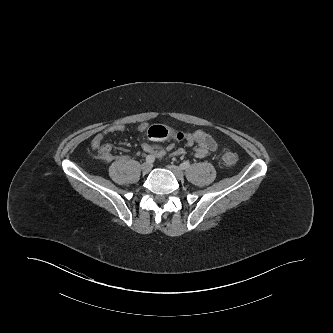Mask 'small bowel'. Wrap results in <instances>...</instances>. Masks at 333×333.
Masks as SVG:
<instances>
[{
    "instance_id": "small-bowel-1",
    "label": "small bowel",
    "mask_w": 333,
    "mask_h": 333,
    "mask_svg": "<svg viewBox=\"0 0 333 333\" xmlns=\"http://www.w3.org/2000/svg\"><path fill=\"white\" fill-rule=\"evenodd\" d=\"M140 130H144V126L139 127ZM125 126L122 124H116L108 127L104 131L95 135L91 141V148L93 151L99 154V157L105 162H111L114 160L113 146L110 143H105V138L113 133L124 132ZM183 136L181 140L185 141L187 147H192L194 155L197 158H205L212 152L218 149L216 140L207 132L203 130H195L193 132H180ZM142 149L159 159L166 156L181 157L185 155L186 149L182 147H176L172 143L160 144L155 142H143Z\"/></svg>"
}]
</instances>
